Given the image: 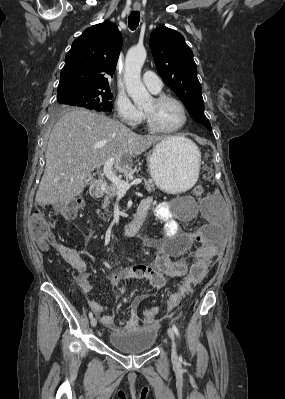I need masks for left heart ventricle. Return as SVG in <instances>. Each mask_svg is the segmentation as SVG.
<instances>
[{"label": "left heart ventricle", "mask_w": 285, "mask_h": 399, "mask_svg": "<svg viewBox=\"0 0 285 399\" xmlns=\"http://www.w3.org/2000/svg\"><path fill=\"white\" fill-rule=\"evenodd\" d=\"M143 110L153 115L157 124L164 128H174L183 122V113L178 104L167 100L163 103L156 104L151 99Z\"/></svg>", "instance_id": "obj_1"}]
</instances>
